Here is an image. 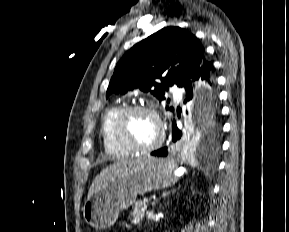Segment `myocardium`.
I'll return each instance as SVG.
<instances>
[{
	"label": "myocardium",
	"mask_w": 289,
	"mask_h": 232,
	"mask_svg": "<svg viewBox=\"0 0 289 232\" xmlns=\"http://www.w3.org/2000/svg\"><path fill=\"white\" fill-rule=\"evenodd\" d=\"M138 112L151 115L156 120L159 127L158 139L149 146L136 145L128 138L126 133V122L128 117ZM113 134L117 143L130 153L148 154L156 151L158 148L161 147L165 137V130L160 115L153 107L135 104L123 107L117 114L114 121Z\"/></svg>",
	"instance_id": "f54148a6"
}]
</instances>
